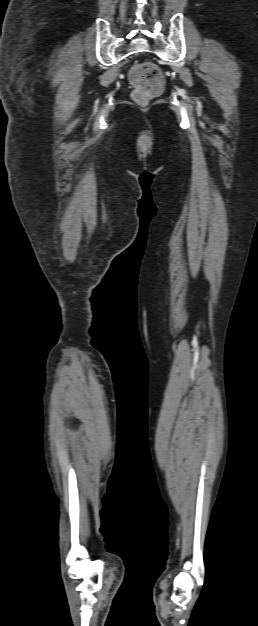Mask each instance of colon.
Wrapping results in <instances>:
<instances>
[{
  "mask_svg": "<svg viewBox=\"0 0 258 626\" xmlns=\"http://www.w3.org/2000/svg\"><path fill=\"white\" fill-rule=\"evenodd\" d=\"M130 81L134 87L133 100L145 105L158 96L164 87V78L157 66L149 62L138 63L130 72Z\"/></svg>",
  "mask_w": 258,
  "mask_h": 626,
  "instance_id": "colon-1",
  "label": "colon"
}]
</instances>
